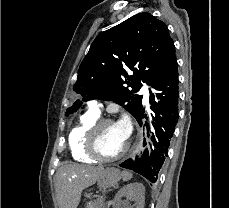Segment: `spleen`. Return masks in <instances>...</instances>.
Masks as SVG:
<instances>
[{
	"mask_svg": "<svg viewBox=\"0 0 229 208\" xmlns=\"http://www.w3.org/2000/svg\"><path fill=\"white\" fill-rule=\"evenodd\" d=\"M121 176L124 182H128V180H131L132 178V174H130V172H122Z\"/></svg>",
	"mask_w": 229,
	"mask_h": 208,
	"instance_id": "obj_1",
	"label": "spleen"
}]
</instances>
